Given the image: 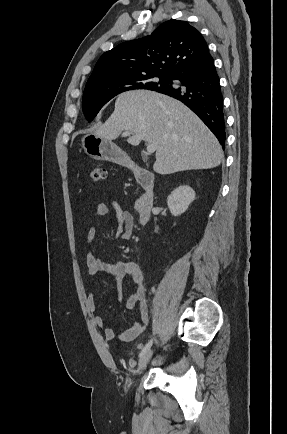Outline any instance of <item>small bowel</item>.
Returning a JSON list of instances; mask_svg holds the SVG:
<instances>
[{"label":"small bowel","mask_w":287,"mask_h":434,"mask_svg":"<svg viewBox=\"0 0 287 434\" xmlns=\"http://www.w3.org/2000/svg\"><path fill=\"white\" fill-rule=\"evenodd\" d=\"M94 214L96 217H109L114 225V235L123 240H128L133 231V216L121 207L115 200L110 199L108 202L100 203L96 206ZM86 239L92 243L96 239L95 228H89ZM86 266L89 276L101 274L104 277L112 279L117 285H120L125 276L129 275L134 284V291L128 296L125 308L131 310L138 306L139 319L133 322L123 333L117 335L116 332L106 327L103 317L95 316V324L104 329V336L107 340L119 339L128 343L138 337L149 321V308L146 299V288L142 268L139 263L132 260H120L108 263L89 253L86 257ZM119 300V298H118ZM88 305L92 312L96 310V303L93 294L88 296Z\"/></svg>","instance_id":"small-bowel-1"}]
</instances>
